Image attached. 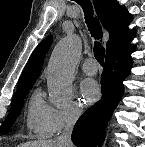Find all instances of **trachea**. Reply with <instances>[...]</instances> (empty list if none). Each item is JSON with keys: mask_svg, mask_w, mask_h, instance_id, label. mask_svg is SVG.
I'll use <instances>...</instances> for the list:
<instances>
[{"mask_svg": "<svg viewBox=\"0 0 145 147\" xmlns=\"http://www.w3.org/2000/svg\"><path fill=\"white\" fill-rule=\"evenodd\" d=\"M77 3L83 8L87 27L95 40H101L103 37L102 27L96 17L93 16V7L90 0H78ZM94 56L96 60L103 65L105 49L99 41H95Z\"/></svg>", "mask_w": 145, "mask_h": 147, "instance_id": "1", "label": "trachea"}]
</instances>
